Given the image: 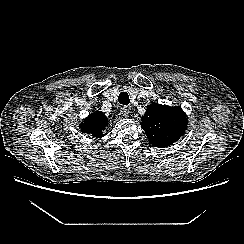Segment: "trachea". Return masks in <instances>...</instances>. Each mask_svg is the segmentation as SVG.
Returning <instances> with one entry per match:
<instances>
[{
    "mask_svg": "<svg viewBox=\"0 0 244 244\" xmlns=\"http://www.w3.org/2000/svg\"><path fill=\"white\" fill-rule=\"evenodd\" d=\"M118 101L122 105H128L130 103L129 95L127 92H121L118 97Z\"/></svg>",
    "mask_w": 244,
    "mask_h": 244,
    "instance_id": "trachea-1",
    "label": "trachea"
}]
</instances>
